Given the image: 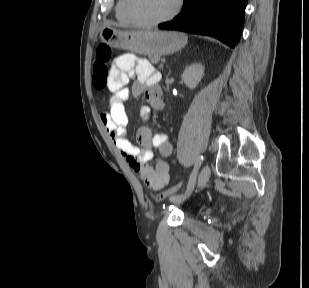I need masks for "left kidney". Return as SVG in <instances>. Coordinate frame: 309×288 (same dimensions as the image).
Listing matches in <instances>:
<instances>
[{
  "label": "left kidney",
  "instance_id": "obj_1",
  "mask_svg": "<svg viewBox=\"0 0 309 288\" xmlns=\"http://www.w3.org/2000/svg\"><path fill=\"white\" fill-rule=\"evenodd\" d=\"M204 75V66L200 63H194L183 71L182 79L189 89H194L201 81Z\"/></svg>",
  "mask_w": 309,
  "mask_h": 288
}]
</instances>
